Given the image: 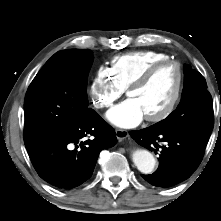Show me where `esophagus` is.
Returning <instances> with one entry per match:
<instances>
[{"mask_svg": "<svg viewBox=\"0 0 221 221\" xmlns=\"http://www.w3.org/2000/svg\"><path fill=\"white\" fill-rule=\"evenodd\" d=\"M115 135H116V137L119 141H122V140L126 139L129 136V133H128L127 130L117 129L115 131Z\"/></svg>", "mask_w": 221, "mask_h": 221, "instance_id": "34e87169", "label": "esophagus"}]
</instances>
